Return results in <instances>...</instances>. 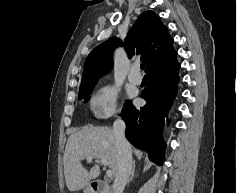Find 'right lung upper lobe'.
Masks as SVG:
<instances>
[{
	"label": "right lung upper lobe",
	"instance_id": "cb5924a9",
	"mask_svg": "<svg viewBox=\"0 0 237 193\" xmlns=\"http://www.w3.org/2000/svg\"><path fill=\"white\" fill-rule=\"evenodd\" d=\"M172 44L173 39L159 17L153 11H145L137 19L123 44L116 37H112L89 53L84 64L80 89L95 85L111 68L110 51L115 46L123 45L129 57L142 54L147 70L175 52Z\"/></svg>",
	"mask_w": 237,
	"mask_h": 193
}]
</instances>
